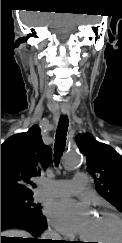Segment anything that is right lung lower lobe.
I'll list each match as a JSON object with an SVG mask.
<instances>
[{"label":"right lung lower lobe","mask_w":122,"mask_h":243,"mask_svg":"<svg viewBox=\"0 0 122 243\" xmlns=\"http://www.w3.org/2000/svg\"><path fill=\"white\" fill-rule=\"evenodd\" d=\"M46 227V218L41 211L34 212L15 206H1V231L8 228H19L36 236ZM1 243H55V241L40 240L38 238H1Z\"/></svg>","instance_id":"98d812e1"}]
</instances>
